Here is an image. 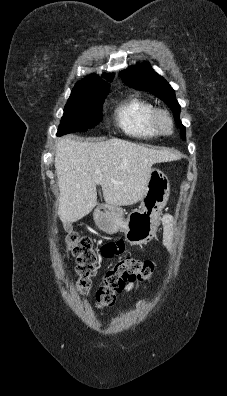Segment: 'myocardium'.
<instances>
[{"label": "myocardium", "instance_id": "myocardium-1", "mask_svg": "<svg viewBox=\"0 0 227 396\" xmlns=\"http://www.w3.org/2000/svg\"><path fill=\"white\" fill-rule=\"evenodd\" d=\"M163 119L167 120V126L162 124ZM151 122L160 135H171L174 132V119L171 113L165 108H154L151 116Z\"/></svg>", "mask_w": 227, "mask_h": 396}]
</instances>
